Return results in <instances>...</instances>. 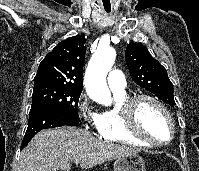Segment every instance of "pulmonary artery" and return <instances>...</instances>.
<instances>
[{"label": "pulmonary artery", "instance_id": "e3ab8cb5", "mask_svg": "<svg viewBox=\"0 0 199 171\" xmlns=\"http://www.w3.org/2000/svg\"><path fill=\"white\" fill-rule=\"evenodd\" d=\"M108 85L112 91H123L126 86L123 73L118 69H113L108 74Z\"/></svg>", "mask_w": 199, "mask_h": 171}]
</instances>
